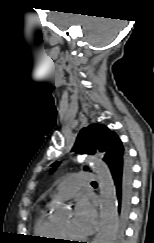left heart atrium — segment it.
I'll return each mask as SVG.
<instances>
[{
    "instance_id": "left-heart-atrium-1",
    "label": "left heart atrium",
    "mask_w": 154,
    "mask_h": 243,
    "mask_svg": "<svg viewBox=\"0 0 154 243\" xmlns=\"http://www.w3.org/2000/svg\"><path fill=\"white\" fill-rule=\"evenodd\" d=\"M96 225V213L88 201H80L71 221L72 230L79 236L89 235Z\"/></svg>"
}]
</instances>
